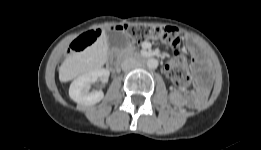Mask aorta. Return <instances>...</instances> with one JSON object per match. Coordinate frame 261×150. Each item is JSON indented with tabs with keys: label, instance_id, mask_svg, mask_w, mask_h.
Segmentation results:
<instances>
[{
	"label": "aorta",
	"instance_id": "obj_1",
	"mask_svg": "<svg viewBox=\"0 0 261 150\" xmlns=\"http://www.w3.org/2000/svg\"><path fill=\"white\" fill-rule=\"evenodd\" d=\"M147 67L154 70L158 67V61L155 58H150L147 60Z\"/></svg>",
	"mask_w": 261,
	"mask_h": 150
}]
</instances>
